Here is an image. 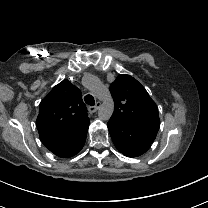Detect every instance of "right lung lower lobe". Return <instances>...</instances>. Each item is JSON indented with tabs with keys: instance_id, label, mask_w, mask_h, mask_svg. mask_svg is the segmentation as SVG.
Here are the masks:
<instances>
[{
	"instance_id": "right-lung-lower-lobe-1",
	"label": "right lung lower lobe",
	"mask_w": 208,
	"mask_h": 208,
	"mask_svg": "<svg viewBox=\"0 0 208 208\" xmlns=\"http://www.w3.org/2000/svg\"><path fill=\"white\" fill-rule=\"evenodd\" d=\"M89 123L69 135L42 141L55 155L68 158L76 155L84 146Z\"/></svg>"
}]
</instances>
